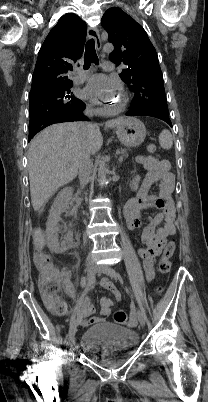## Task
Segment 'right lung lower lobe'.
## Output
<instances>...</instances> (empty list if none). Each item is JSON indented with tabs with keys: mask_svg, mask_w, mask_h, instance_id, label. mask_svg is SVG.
I'll return each instance as SVG.
<instances>
[{
	"mask_svg": "<svg viewBox=\"0 0 208 402\" xmlns=\"http://www.w3.org/2000/svg\"><path fill=\"white\" fill-rule=\"evenodd\" d=\"M85 108V104L82 102L81 105L73 111L69 112H58L56 114H46L43 116H38L30 121L29 138L30 141L39 131L45 127L60 123V122H73L79 120H87L81 113Z\"/></svg>",
	"mask_w": 208,
	"mask_h": 402,
	"instance_id": "1",
	"label": "right lung lower lobe"
}]
</instances>
